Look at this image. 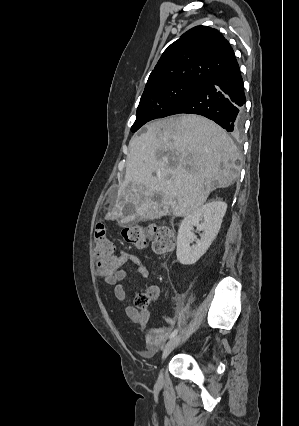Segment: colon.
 <instances>
[{"mask_svg": "<svg viewBox=\"0 0 299 426\" xmlns=\"http://www.w3.org/2000/svg\"><path fill=\"white\" fill-rule=\"evenodd\" d=\"M124 240L137 247H144L151 243L157 253H169L175 247V236L171 228L164 225L130 226L122 231ZM95 255L105 267L115 264V247L107 236L106 226L97 223L94 228ZM150 302L147 294H138L134 303L138 308H145Z\"/></svg>", "mask_w": 299, "mask_h": 426, "instance_id": "1", "label": "colon"}]
</instances>
